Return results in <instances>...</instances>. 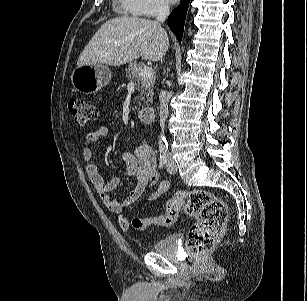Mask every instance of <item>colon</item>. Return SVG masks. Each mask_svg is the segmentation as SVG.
I'll return each instance as SVG.
<instances>
[{"label": "colon", "mask_w": 307, "mask_h": 301, "mask_svg": "<svg viewBox=\"0 0 307 301\" xmlns=\"http://www.w3.org/2000/svg\"><path fill=\"white\" fill-rule=\"evenodd\" d=\"M69 110L79 126L96 120L98 116L97 106L82 98L70 100ZM182 212L195 218L188 229L187 250L194 255L211 250L223 236L228 213L224 201L206 190L178 191L167 201L165 214L134 218L132 225L136 230H145L150 226H171Z\"/></svg>", "instance_id": "obj_1"}]
</instances>
